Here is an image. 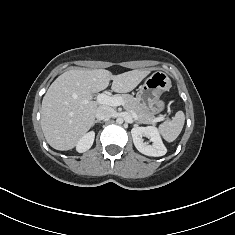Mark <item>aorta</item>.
Returning a JSON list of instances; mask_svg holds the SVG:
<instances>
[{
	"label": "aorta",
	"mask_w": 235,
	"mask_h": 235,
	"mask_svg": "<svg viewBox=\"0 0 235 235\" xmlns=\"http://www.w3.org/2000/svg\"><path fill=\"white\" fill-rule=\"evenodd\" d=\"M116 122L118 124H122L123 123V118H121V117L117 118Z\"/></svg>",
	"instance_id": "aorta-1"
}]
</instances>
